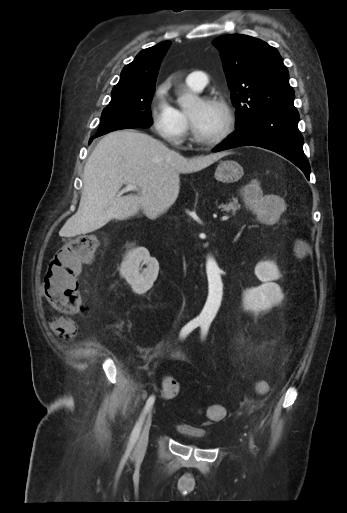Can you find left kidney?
I'll return each mask as SVG.
<instances>
[{
  "instance_id": "obj_1",
  "label": "left kidney",
  "mask_w": 347,
  "mask_h": 513,
  "mask_svg": "<svg viewBox=\"0 0 347 513\" xmlns=\"http://www.w3.org/2000/svg\"><path fill=\"white\" fill-rule=\"evenodd\" d=\"M255 274L263 284L245 290L243 306L258 315L270 311L279 304L283 299V293L279 285L273 282L280 278V272L274 262H259L255 267Z\"/></svg>"
}]
</instances>
